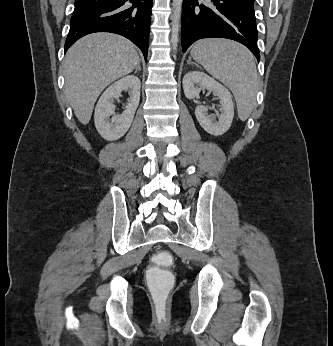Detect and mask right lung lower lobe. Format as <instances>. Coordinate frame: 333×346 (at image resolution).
I'll return each instance as SVG.
<instances>
[{"instance_id": "obj_1", "label": "right lung lower lobe", "mask_w": 333, "mask_h": 346, "mask_svg": "<svg viewBox=\"0 0 333 346\" xmlns=\"http://www.w3.org/2000/svg\"><path fill=\"white\" fill-rule=\"evenodd\" d=\"M153 0H76L65 52L79 38L94 32L122 35L147 58Z\"/></svg>"}]
</instances>
